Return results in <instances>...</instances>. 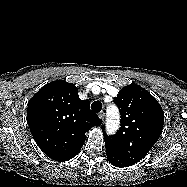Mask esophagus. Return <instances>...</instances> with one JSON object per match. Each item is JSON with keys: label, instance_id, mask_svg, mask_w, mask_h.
<instances>
[{"label": "esophagus", "instance_id": "1", "mask_svg": "<svg viewBox=\"0 0 187 187\" xmlns=\"http://www.w3.org/2000/svg\"><path fill=\"white\" fill-rule=\"evenodd\" d=\"M98 116L101 120H104L105 119V112L104 111L99 112Z\"/></svg>", "mask_w": 187, "mask_h": 187}]
</instances>
